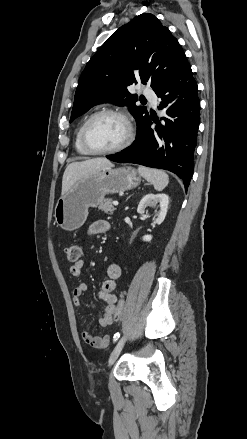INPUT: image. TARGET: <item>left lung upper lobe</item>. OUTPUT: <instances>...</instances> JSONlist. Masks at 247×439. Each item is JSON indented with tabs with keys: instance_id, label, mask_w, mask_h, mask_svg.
<instances>
[{
	"instance_id": "1",
	"label": "left lung upper lobe",
	"mask_w": 247,
	"mask_h": 439,
	"mask_svg": "<svg viewBox=\"0 0 247 439\" xmlns=\"http://www.w3.org/2000/svg\"><path fill=\"white\" fill-rule=\"evenodd\" d=\"M169 29L152 14H141L120 27L100 47L83 70L70 122L100 103L127 105L137 128L149 116L137 106L128 86L141 81L159 90L186 61Z\"/></svg>"
}]
</instances>
